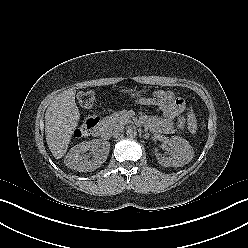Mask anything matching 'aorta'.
<instances>
[{
  "instance_id": "762f6f07",
  "label": "aorta",
  "mask_w": 248,
  "mask_h": 248,
  "mask_svg": "<svg viewBox=\"0 0 248 248\" xmlns=\"http://www.w3.org/2000/svg\"><path fill=\"white\" fill-rule=\"evenodd\" d=\"M126 135L131 138H134L135 136H137L136 128L134 126H129L126 130Z\"/></svg>"
}]
</instances>
